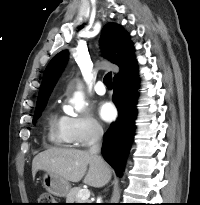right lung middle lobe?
Here are the masks:
<instances>
[{"label": "right lung middle lobe", "instance_id": "right-lung-middle-lobe-1", "mask_svg": "<svg viewBox=\"0 0 200 205\" xmlns=\"http://www.w3.org/2000/svg\"><path fill=\"white\" fill-rule=\"evenodd\" d=\"M47 100L48 99H44L42 101L37 102L36 109H35V114H34V117H33V122L36 121L39 118L43 108L45 107V105L47 103Z\"/></svg>", "mask_w": 200, "mask_h": 205}]
</instances>
